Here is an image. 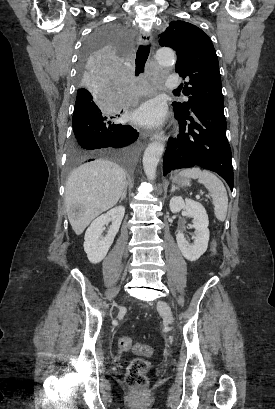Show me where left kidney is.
Wrapping results in <instances>:
<instances>
[{
    "instance_id": "5707ae66",
    "label": "left kidney",
    "mask_w": 275,
    "mask_h": 409,
    "mask_svg": "<svg viewBox=\"0 0 275 409\" xmlns=\"http://www.w3.org/2000/svg\"><path fill=\"white\" fill-rule=\"evenodd\" d=\"M182 209L187 211L188 217H193L192 227L196 229V237H193L194 243L190 245V243L186 241L183 233H178V235H176L177 245L187 261H197V259L207 251L208 247V215L203 205H201V202H196V200H191V198H185V200H183L182 196H172L170 200L171 213H179Z\"/></svg>"
}]
</instances>
